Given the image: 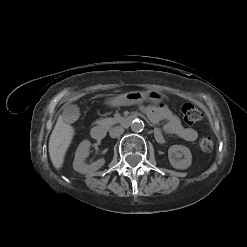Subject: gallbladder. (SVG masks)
<instances>
[{"mask_svg": "<svg viewBox=\"0 0 247 247\" xmlns=\"http://www.w3.org/2000/svg\"><path fill=\"white\" fill-rule=\"evenodd\" d=\"M79 115H80V110L76 105L67 106L62 113L63 120L66 123L75 122L79 118Z\"/></svg>", "mask_w": 247, "mask_h": 247, "instance_id": "obj_1", "label": "gallbladder"}]
</instances>
